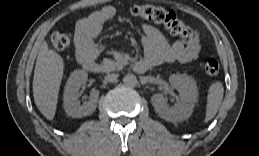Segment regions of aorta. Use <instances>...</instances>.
<instances>
[{
  "label": "aorta",
  "instance_id": "1",
  "mask_svg": "<svg viewBox=\"0 0 259 156\" xmlns=\"http://www.w3.org/2000/svg\"><path fill=\"white\" fill-rule=\"evenodd\" d=\"M123 82L126 86L129 87H135L138 83L137 77L133 74H127L124 79Z\"/></svg>",
  "mask_w": 259,
  "mask_h": 156
}]
</instances>
